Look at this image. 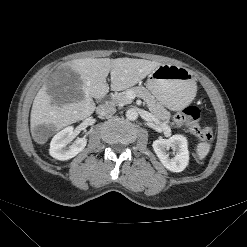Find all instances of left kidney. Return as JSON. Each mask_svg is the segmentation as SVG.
<instances>
[{
	"label": "left kidney",
	"instance_id": "obj_1",
	"mask_svg": "<svg viewBox=\"0 0 247 247\" xmlns=\"http://www.w3.org/2000/svg\"><path fill=\"white\" fill-rule=\"evenodd\" d=\"M152 146L163 166L171 172H181L188 165V142L183 135L177 134L169 139H157ZM169 148L173 149L174 157H170Z\"/></svg>",
	"mask_w": 247,
	"mask_h": 247
}]
</instances>
